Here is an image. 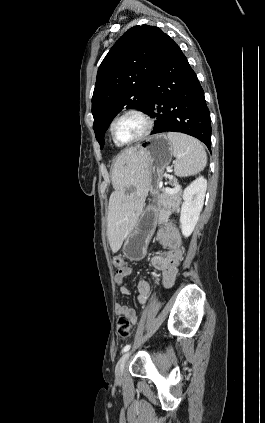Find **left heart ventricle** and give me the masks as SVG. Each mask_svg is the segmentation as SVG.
<instances>
[{
  "mask_svg": "<svg viewBox=\"0 0 265 423\" xmlns=\"http://www.w3.org/2000/svg\"><path fill=\"white\" fill-rule=\"evenodd\" d=\"M144 121L134 115L120 119L114 127L116 138L121 142H128L138 137L144 130Z\"/></svg>",
  "mask_w": 265,
  "mask_h": 423,
  "instance_id": "obj_1",
  "label": "left heart ventricle"
}]
</instances>
